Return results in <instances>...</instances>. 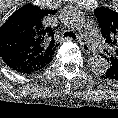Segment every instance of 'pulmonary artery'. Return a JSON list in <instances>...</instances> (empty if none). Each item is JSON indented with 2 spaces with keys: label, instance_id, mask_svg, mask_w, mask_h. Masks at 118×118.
<instances>
[{
  "label": "pulmonary artery",
  "instance_id": "e3ab8cb5",
  "mask_svg": "<svg viewBox=\"0 0 118 118\" xmlns=\"http://www.w3.org/2000/svg\"><path fill=\"white\" fill-rule=\"evenodd\" d=\"M85 34L87 37V42L91 45V47L97 51L103 50V41L101 36L99 35L94 23L89 21L86 24Z\"/></svg>",
  "mask_w": 118,
  "mask_h": 118
}]
</instances>
